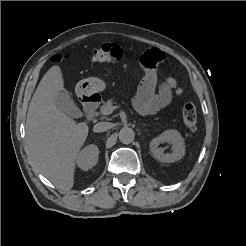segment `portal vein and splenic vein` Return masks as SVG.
<instances>
[{"mask_svg": "<svg viewBox=\"0 0 246 246\" xmlns=\"http://www.w3.org/2000/svg\"><path fill=\"white\" fill-rule=\"evenodd\" d=\"M118 107L117 106H108V107H106L104 110H103V112H102V114L103 115H109V114H111L115 109H117Z\"/></svg>", "mask_w": 246, "mask_h": 246, "instance_id": "1", "label": "portal vein and splenic vein"}]
</instances>
